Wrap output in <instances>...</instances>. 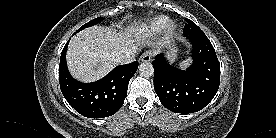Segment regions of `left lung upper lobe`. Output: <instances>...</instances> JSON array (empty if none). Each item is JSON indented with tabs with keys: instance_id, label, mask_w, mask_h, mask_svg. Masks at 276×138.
<instances>
[{
	"instance_id": "1",
	"label": "left lung upper lobe",
	"mask_w": 276,
	"mask_h": 138,
	"mask_svg": "<svg viewBox=\"0 0 276 138\" xmlns=\"http://www.w3.org/2000/svg\"><path fill=\"white\" fill-rule=\"evenodd\" d=\"M188 23L185 25L184 28V35H189L193 33H201L203 32L194 22L187 19Z\"/></svg>"
}]
</instances>
